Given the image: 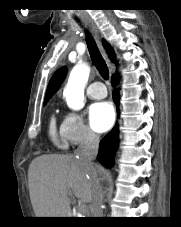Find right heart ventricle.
<instances>
[{
  "label": "right heart ventricle",
  "mask_w": 181,
  "mask_h": 227,
  "mask_svg": "<svg viewBox=\"0 0 181 227\" xmlns=\"http://www.w3.org/2000/svg\"><path fill=\"white\" fill-rule=\"evenodd\" d=\"M49 135L52 141L60 148L65 149L67 147V141L64 139L60 129H57L56 117L52 115L49 123Z\"/></svg>",
  "instance_id": "1"
}]
</instances>
